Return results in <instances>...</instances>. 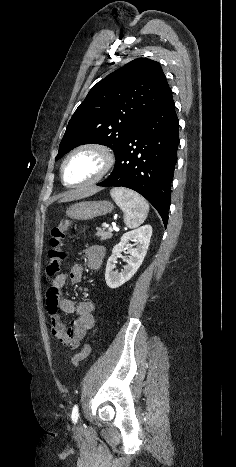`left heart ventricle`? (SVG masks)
I'll return each mask as SVG.
<instances>
[{
    "label": "left heart ventricle",
    "mask_w": 236,
    "mask_h": 467,
    "mask_svg": "<svg viewBox=\"0 0 236 467\" xmlns=\"http://www.w3.org/2000/svg\"><path fill=\"white\" fill-rule=\"evenodd\" d=\"M102 157L95 151L85 150L74 155L66 166L69 183H81L94 178L102 169Z\"/></svg>",
    "instance_id": "1"
}]
</instances>
